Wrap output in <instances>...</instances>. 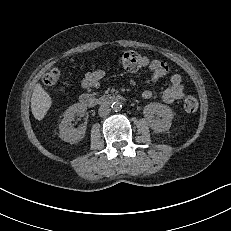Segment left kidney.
<instances>
[{"mask_svg": "<svg viewBox=\"0 0 231 231\" xmlns=\"http://www.w3.org/2000/svg\"><path fill=\"white\" fill-rule=\"evenodd\" d=\"M145 119L148 121L149 127L155 132L169 131L174 112L167 105L161 103H150L143 109Z\"/></svg>", "mask_w": 231, "mask_h": 231, "instance_id": "left-kidney-1", "label": "left kidney"}]
</instances>
